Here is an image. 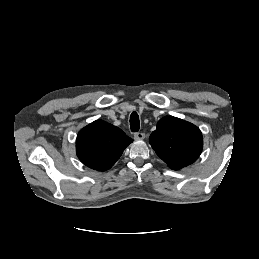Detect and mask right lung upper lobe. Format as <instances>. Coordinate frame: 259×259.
Segmentation results:
<instances>
[{
  "instance_id": "right-lung-upper-lobe-1",
  "label": "right lung upper lobe",
  "mask_w": 259,
  "mask_h": 259,
  "mask_svg": "<svg viewBox=\"0 0 259 259\" xmlns=\"http://www.w3.org/2000/svg\"><path fill=\"white\" fill-rule=\"evenodd\" d=\"M132 141L121 129L96 120L78 133L76 153L89 168L105 171L114 165Z\"/></svg>"
}]
</instances>
